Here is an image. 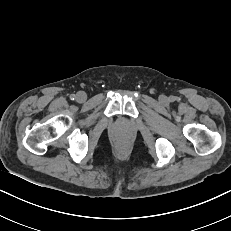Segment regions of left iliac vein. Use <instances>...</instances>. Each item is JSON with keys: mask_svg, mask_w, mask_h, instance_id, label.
Here are the masks:
<instances>
[{"mask_svg": "<svg viewBox=\"0 0 231 231\" xmlns=\"http://www.w3.org/2000/svg\"><path fill=\"white\" fill-rule=\"evenodd\" d=\"M165 100V97H161V101H164Z\"/></svg>", "mask_w": 231, "mask_h": 231, "instance_id": "1", "label": "left iliac vein"}]
</instances>
